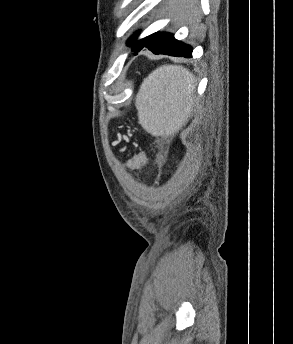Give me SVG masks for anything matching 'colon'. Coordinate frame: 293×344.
Masks as SVG:
<instances>
[{"mask_svg": "<svg viewBox=\"0 0 293 344\" xmlns=\"http://www.w3.org/2000/svg\"><path fill=\"white\" fill-rule=\"evenodd\" d=\"M164 154L163 153H158L157 154V161L162 164L164 162Z\"/></svg>", "mask_w": 293, "mask_h": 344, "instance_id": "obj_1", "label": "colon"}]
</instances>
